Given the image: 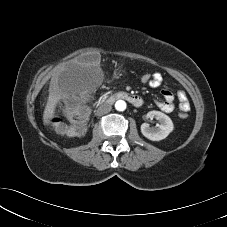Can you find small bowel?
Returning <instances> with one entry per match:
<instances>
[{
    "mask_svg": "<svg viewBox=\"0 0 227 227\" xmlns=\"http://www.w3.org/2000/svg\"><path fill=\"white\" fill-rule=\"evenodd\" d=\"M162 75L159 72L154 73V79L153 81L149 84L151 87H159L162 84ZM161 94L164 98L163 101L156 100L155 103L157 107L166 112L170 113L174 110L175 104H174V99L175 96L174 94L169 90V89H162ZM177 97L179 100V109L181 112H188L190 110V102L187 98V95L185 94L184 91H178Z\"/></svg>",
    "mask_w": 227,
    "mask_h": 227,
    "instance_id": "obj_1",
    "label": "small bowel"
}]
</instances>
